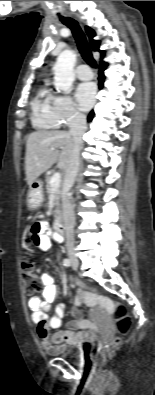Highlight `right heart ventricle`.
Instances as JSON below:
<instances>
[{
  "label": "right heart ventricle",
  "mask_w": 155,
  "mask_h": 395,
  "mask_svg": "<svg viewBox=\"0 0 155 395\" xmlns=\"http://www.w3.org/2000/svg\"><path fill=\"white\" fill-rule=\"evenodd\" d=\"M53 98L54 95L46 86L38 90L32 101V123L36 128H57L52 111Z\"/></svg>",
  "instance_id": "obj_1"
}]
</instances>
